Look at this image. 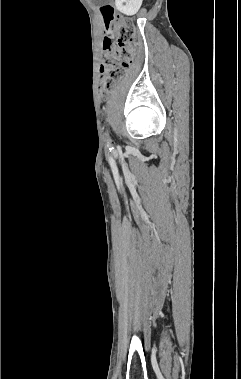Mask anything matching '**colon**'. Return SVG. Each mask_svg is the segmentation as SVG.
Returning <instances> with one entry per match:
<instances>
[{"label": "colon", "mask_w": 241, "mask_h": 379, "mask_svg": "<svg viewBox=\"0 0 241 379\" xmlns=\"http://www.w3.org/2000/svg\"><path fill=\"white\" fill-rule=\"evenodd\" d=\"M108 31L103 42L105 60L100 67V92L108 94L128 69L135 56V27L124 23L112 4L100 8Z\"/></svg>", "instance_id": "5ec220e1"}]
</instances>
